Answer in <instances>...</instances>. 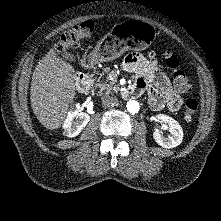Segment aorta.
<instances>
[{
    "instance_id": "1",
    "label": "aorta",
    "mask_w": 221,
    "mask_h": 221,
    "mask_svg": "<svg viewBox=\"0 0 221 221\" xmlns=\"http://www.w3.org/2000/svg\"><path fill=\"white\" fill-rule=\"evenodd\" d=\"M126 108L130 113H137L140 109L139 103L135 100H130L126 104Z\"/></svg>"
}]
</instances>
